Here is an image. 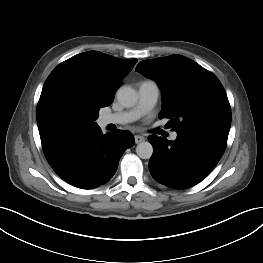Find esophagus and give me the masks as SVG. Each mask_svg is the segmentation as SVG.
<instances>
[{"label":"esophagus","mask_w":263,"mask_h":263,"mask_svg":"<svg viewBox=\"0 0 263 263\" xmlns=\"http://www.w3.org/2000/svg\"><path fill=\"white\" fill-rule=\"evenodd\" d=\"M143 141H145V138L143 137V136H141V135H136L135 136V142L138 144V143H141V142H143Z\"/></svg>","instance_id":"1"}]
</instances>
